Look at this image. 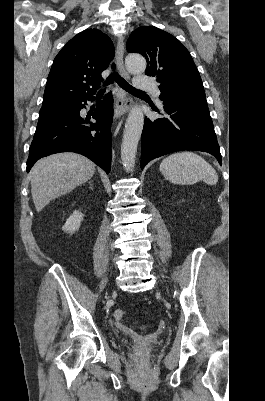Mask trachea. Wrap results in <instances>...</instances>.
<instances>
[{"instance_id":"trachea-1","label":"trachea","mask_w":265,"mask_h":401,"mask_svg":"<svg viewBox=\"0 0 265 401\" xmlns=\"http://www.w3.org/2000/svg\"><path fill=\"white\" fill-rule=\"evenodd\" d=\"M112 68H113V70L115 69L114 63L112 64ZM114 81L118 83L119 87L123 88V90H126V92L131 93L132 95L136 94V93H146V92H143L142 90H137V88L132 87V85H130L126 80H124V78H122L116 72L111 73V75L108 76V78L105 82V85H109L110 83H113ZM104 91L105 90H100V93L104 92Z\"/></svg>"}]
</instances>
